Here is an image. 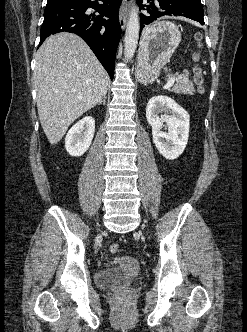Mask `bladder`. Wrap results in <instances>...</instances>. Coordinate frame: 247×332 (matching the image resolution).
<instances>
[{
  "label": "bladder",
  "mask_w": 247,
  "mask_h": 332,
  "mask_svg": "<svg viewBox=\"0 0 247 332\" xmlns=\"http://www.w3.org/2000/svg\"><path fill=\"white\" fill-rule=\"evenodd\" d=\"M132 259L121 258L118 263L99 270L96 274V283L102 288H117L134 282L132 276Z\"/></svg>",
  "instance_id": "obj_1"
}]
</instances>
